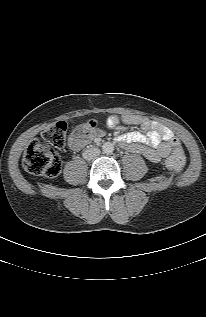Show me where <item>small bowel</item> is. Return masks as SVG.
Wrapping results in <instances>:
<instances>
[{"label":"small bowel","instance_id":"obj_1","mask_svg":"<svg viewBox=\"0 0 206 317\" xmlns=\"http://www.w3.org/2000/svg\"><path fill=\"white\" fill-rule=\"evenodd\" d=\"M120 122L137 125L140 128L138 131H128L119 135L117 140L121 146L143 155L151 162H160L167 157L173 147V142H178L168 127L147 117L131 114L123 115L120 118L111 116L107 120V125L114 128ZM85 143L86 141H76L73 135L70 138V146L75 150L83 147Z\"/></svg>","mask_w":206,"mask_h":317}]
</instances>
